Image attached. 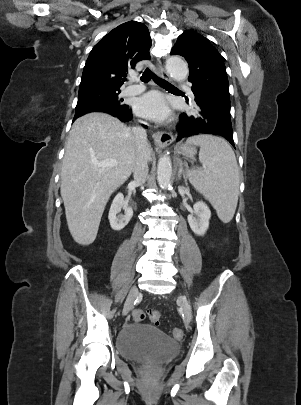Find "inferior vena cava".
I'll use <instances>...</instances> for the list:
<instances>
[{
    "instance_id": "obj_1",
    "label": "inferior vena cava",
    "mask_w": 301,
    "mask_h": 405,
    "mask_svg": "<svg viewBox=\"0 0 301 405\" xmlns=\"http://www.w3.org/2000/svg\"><path fill=\"white\" fill-rule=\"evenodd\" d=\"M132 133L137 144V155L133 164V176L136 183L143 184L148 176V164L141 148L147 143V134L146 130L140 126L134 127Z\"/></svg>"
}]
</instances>
